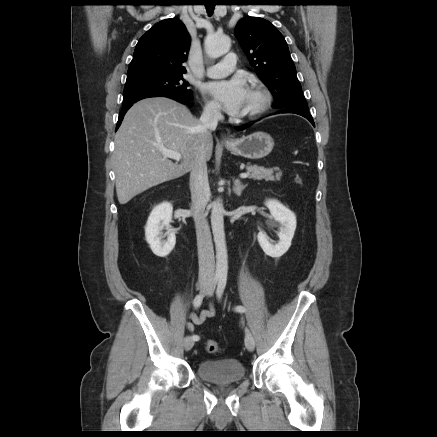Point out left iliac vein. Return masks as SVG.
Instances as JSON below:
<instances>
[{"label":"left iliac vein","instance_id":"4c4485c4","mask_svg":"<svg viewBox=\"0 0 437 437\" xmlns=\"http://www.w3.org/2000/svg\"><path fill=\"white\" fill-rule=\"evenodd\" d=\"M212 293H213L212 290L208 292L209 295H212ZM245 346L249 351H253L255 348V341L253 335L249 330H247L245 333Z\"/></svg>","mask_w":437,"mask_h":437}]
</instances>
